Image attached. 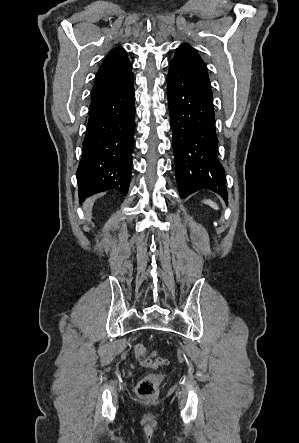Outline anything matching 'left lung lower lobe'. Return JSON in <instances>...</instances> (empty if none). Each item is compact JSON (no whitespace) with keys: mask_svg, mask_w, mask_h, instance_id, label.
Segmentation results:
<instances>
[{"mask_svg":"<svg viewBox=\"0 0 299 443\" xmlns=\"http://www.w3.org/2000/svg\"><path fill=\"white\" fill-rule=\"evenodd\" d=\"M167 96L181 196L209 189L225 199L226 178L216 156L218 140L210 84L171 61Z\"/></svg>","mask_w":299,"mask_h":443,"instance_id":"0a47b994","label":"left lung lower lobe"}]
</instances>
